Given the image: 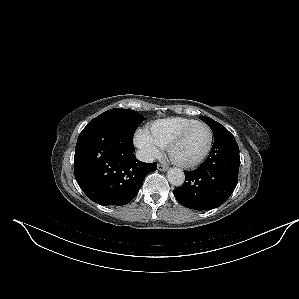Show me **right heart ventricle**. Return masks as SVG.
Masks as SVG:
<instances>
[{"label": "right heart ventricle", "instance_id": "obj_1", "mask_svg": "<svg viewBox=\"0 0 299 299\" xmlns=\"http://www.w3.org/2000/svg\"><path fill=\"white\" fill-rule=\"evenodd\" d=\"M197 122L185 117H168L155 120L146 127V132L161 147H167L171 139L185 127Z\"/></svg>", "mask_w": 299, "mask_h": 299}]
</instances>
